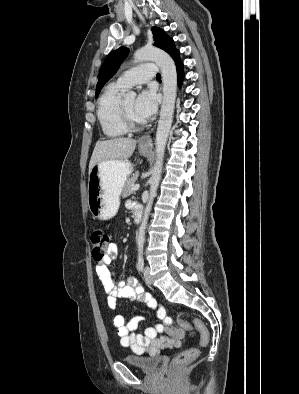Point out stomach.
I'll return each instance as SVG.
<instances>
[{
    "instance_id": "stomach-1",
    "label": "stomach",
    "mask_w": 299,
    "mask_h": 394,
    "mask_svg": "<svg viewBox=\"0 0 299 394\" xmlns=\"http://www.w3.org/2000/svg\"><path fill=\"white\" fill-rule=\"evenodd\" d=\"M139 152L145 156L149 153L144 148H139ZM132 171L128 160L101 161L93 166L89 172L87 200L94 218L108 220L116 215L120 194Z\"/></svg>"
}]
</instances>
